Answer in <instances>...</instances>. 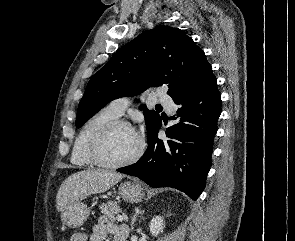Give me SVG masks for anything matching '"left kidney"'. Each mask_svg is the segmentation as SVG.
Segmentation results:
<instances>
[{"label": "left kidney", "instance_id": "left-kidney-1", "mask_svg": "<svg viewBox=\"0 0 295 241\" xmlns=\"http://www.w3.org/2000/svg\"><path fill=\"white\" fill-rule=\"evenodd\" d=\"M163 217L161 216H156L154 217L149 225L150 232L153 236H157L160 232H163V229L165 227V224L163 222Z\"/></svg>", "mask_w": 295, "mask_h": 241}]
</instances>
